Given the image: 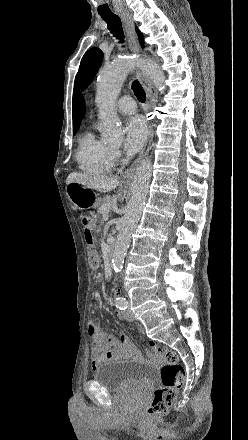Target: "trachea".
<instances>
[{
  "label": "trachea",
  "mask_w": 248,
  "mask_h": 440,
  "mask_svg": "<svg viewBox=\"0 0 248 440\" xmlns=\"http://www.w3.org/2000/svg\"><path fill=\"white\" fill-rule=\"evenodd\" d=\"M102 19L107 23L108 29L113 34L114 37L123 42L124 35L121 26V20L117 15L109 14V15H101ZM132 90L140 102H144L146 99V94L141 84L135 80L132 83Z\"/></svg>",
  "instance_id": "trachea-1"
}]
</instances>
